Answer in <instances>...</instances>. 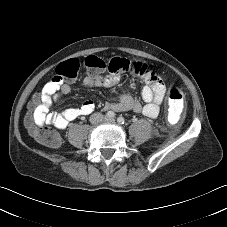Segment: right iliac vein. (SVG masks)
<instances>
[{
    "mask_svg": "<svg viewBox=\"0 0 227 227\" xmlns=\"http://www.w3.org/2000/svg\"><path fill=\"white\" fill-rule=\"evenodd\" d=\"M103 120V116L102 115H96L95 116V121H102Z\"/></svg>",
    "mask_w": 227,
    "mask_h": 227,
    "instance_id": "63e3f726",
    "label": "right iliac vein"
}]
</instances>
